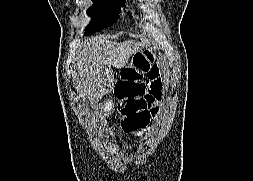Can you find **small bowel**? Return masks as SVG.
Listing matches in <instances>:
<instances>
[{
    "mask_svg": "<svg viewBox=\"0 0 253 181\" xmlns=\"http://www.w3.org/2000/svg\"><path fill=\"white\" fill-rule=\"evenodd\" d=\"M146 87L148 97L151 99H155L153 111L156 112L157 102L162 96L163 81L159 69L157 67L152 66L151 60L146 77Z\"/></svg>",
    "mask_w": 253,
    "mask_h": 181,
    "instance_id": "obj_1",
    "label": "small bowel"
}]
</instances>
